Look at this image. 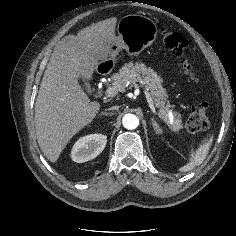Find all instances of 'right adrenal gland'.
<instances>
[{
	"mask_svg": "<svg viewBox=\"0 0 236 236\" xmlns=\"http://www.w3.org/2000/svg\"><path fill=\"white\" fill-rule=\"evenodd\" d=\"M101 115H104V116H111L112 113L103 112Z\"/></svg>",
	"mask_w": 236,
	"mask_h": 236,
	"instance_id": "right-adrenal-gland-1",
	"label": "right adrenal gland"
}]
</instances>
